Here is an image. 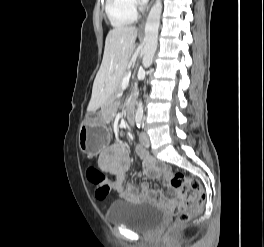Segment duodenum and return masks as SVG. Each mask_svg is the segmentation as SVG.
I'll list each match as a JSON object with an SVG mask.
<instances>
[{
    "instance_id": "1",
    "label": "duodenum",
    "mask_w": 264,
    "mask_h": 247,
    "mask_svg": "<svg viewBox=\"0 0 264 247\" xmlns=\"http://www.w3.org/2000/svg\"><path fill=\"white\" fill-rule=\"evenodd\" d=\"M127 121L129 124H132L134 121V114L132 110H129L127 113Z\"/></svg>"
}]
</instances>
